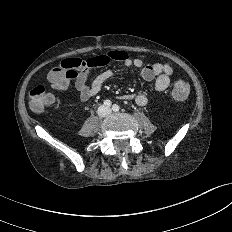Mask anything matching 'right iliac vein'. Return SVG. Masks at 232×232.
Returning a JSON list of instances; mask_svg holds the SVG:
<instances>
[{
    "label": "right iliac vein",
    "mask_w": 232,
    "mask_h": 232,
    "mask_svg": "<svg viewBox=\"0 0 232 232\" xmlns=\"http://www.w3.org/2000/svg\"><path fill=\"white\" fill-rule=\"evenodd\" d=\"M101 111H102V112H104V111H105V109H104V108H102V109H101Z\"/></svg>",
    "instance_id": "obj_1"
}]
</instances>
